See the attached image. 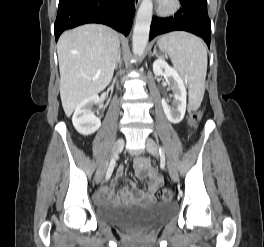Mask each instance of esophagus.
Here are the masks:
<instances>
[{"label":"esophagus","mask_w":264,"mask_h":247,"mask_svg":"<svg viewBox=\"0 0 264 247\" xmlns=\"http://www.w3.org/2000/svg\"><path fill=\"white\" fill-rule=\"evenodd\" d=\"M140 1H141V0H134V5H135V7H137V6L139 5Z\"/></svg>","instance_id":"esophagus-1"}]
</instances>
